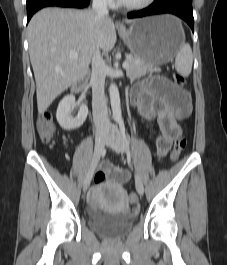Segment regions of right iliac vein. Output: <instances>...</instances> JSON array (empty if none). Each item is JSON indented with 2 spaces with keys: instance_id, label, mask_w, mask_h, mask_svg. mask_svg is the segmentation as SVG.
Returning <instances> with one entry per match:
<instances>
[{
  "instance_id": "1",
  "label": "right iliac vein",
  "mask_w": 227,
  "mask_h": 265,
  "mask_svg": "<svg viewBox=\"0 0 227 265\" xmlns=\"http://www.w3.org/2000/svg\"><path fill=\"white\" fill-rule=\"evenodd\" d=\"M106 139H107V135L106 133H98L96 135V138H95V150H94V156H93V160H92V164H91V167H90V170L84 180V183H83V191L85 192L90 183H91V180H92V176H93V173H94V170L96 168V165L100 159V156L103 152V149H104V146H105V142H106Z\"/></svg>"
}]
</instances>
